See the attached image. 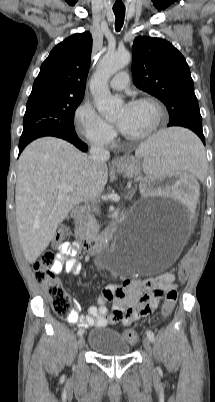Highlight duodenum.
Segmentation results:
<instances>
[{
  "mask_svg": "<svg viewBox=\"0 0 215 402\" xmlns=\"http://www.w3.org/2000/svg\"><path fill=\"white\" fill-rule=\"evenodd\" d=\"M83 216V209L78 207L75 208L71 214L72 220L74 223H78L80 219ZM84 249L92 254V255H97L101 253L102 250L105 249L107 246V242H105V239H85L82 241Z\"/></svg>",
  "mask_w": 215,
  "mask_h": 402,
  "instance_id": "duodenum-1",
  "label": "duodenum"
}]
</instances>
